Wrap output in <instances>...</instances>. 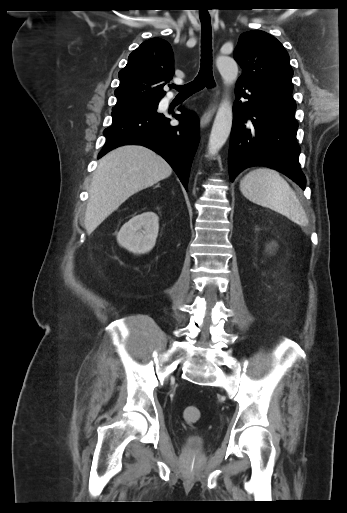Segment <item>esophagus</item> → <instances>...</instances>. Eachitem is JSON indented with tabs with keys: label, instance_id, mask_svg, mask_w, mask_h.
Here are the masks:
<instances>
[{
	"label": "esophagus",
	"instance_id": "1",
	"mask_svg": "<svg viewBox=\"0 0 347 513\" xmlns=\"http://www.w3.org/2000/svg\"><path fill=\"white\" fill-rule=\"evenodd\" d=\"M218 95H219V89L216 86L211 90L208 104L203 112L202 117H201L200 125L202 128L207 126V124L210 122L211 118L213 117V115L217 109Z\"/></svg>",
	"mask_w": 347,
	"mask_h": 513
}]
</instances>
